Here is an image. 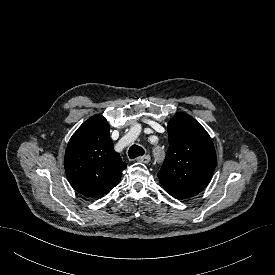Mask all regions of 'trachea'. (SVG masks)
<instances>
[{
  "instance_id": "obj_1",
  "label": "trachea",
  "mask_w": 275,
  "mask_h": 275,
  "mask_svg": "<svg viewBox=\"0 0 275 275\" xmlns=\"http://www.w3.org/2000/svg\"><path fill=\"white\" fill-rule=\"evenodd\" d=\"M144 153H145L144 149L138 145H132L128 151V155L130 159H134L138 156L144 155Z\"/></svg>"
}]
</instances>
